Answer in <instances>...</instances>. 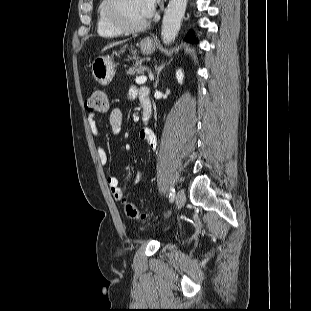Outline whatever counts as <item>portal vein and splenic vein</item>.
Segmentation results:
<instances>
[{
  "label": "portal vein and splenic vein",
  "mask_w": 311,
  "mask_h": 311,
  "mask_svg": "<svg viewBox=\"0 0 311 311\" xmlns=\"http://www.w3.org/2000/svg\"><path fill=\"white\" fill-rule=\"evenodd\" d=\"M136 83L137 84H144L147 81V77L146 76H139L136 78Z\"/></svg>",
  "instance_id": "18ae733b"
}]
</instances>
